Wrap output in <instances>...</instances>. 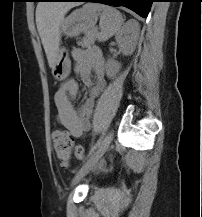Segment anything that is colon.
Wrapping results in <instances>:
<instances>
[{
  "label": "colon",
  "instance_id": "5ec220e1",
  "mask_svg": "<svg viewBox=\"0 0 202 217\" xmlns=\"http://www.w3.org/2000/svg\"><path fill=\"white\" fill-rule=\"evenodd\" d=\"M52 145L56 158L62 166H66L70 160L71 153L79 160L84 158V149L81 145H74L69 134L61 129L52 133Z\"/></svg>",
  "mask_w": 202,
  "mask_h": 217
}]
</instances>
